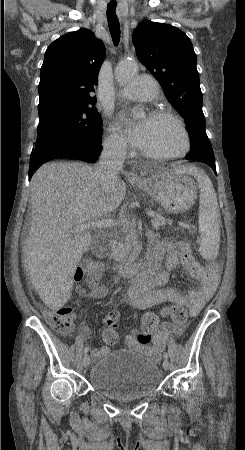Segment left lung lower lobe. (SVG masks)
Segmentation results:
<instances>
[{
    "mask_svg": "<svg viewBox=\"0 0 245 450\" xmlns=\"http://www.w3.org/2000/svg\"><path fill=\"white\" fill-rule=\"evenodd\" d=\"M185 159L204 162L212 167L216 173L214 152L210 147H200L199 154H188Z\"/></svg>",
    "mask_w": 245,
    "mask_h": 450,
    "instance_id": "obj_1",
    "label": "left lung lower lobe"
}]
</instances>
